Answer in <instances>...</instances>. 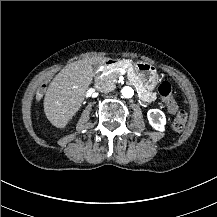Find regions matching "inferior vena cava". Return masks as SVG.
<instances>
[{"label":"inferior vena cava","instance_id":"1","mask_svg":"<svg viewBox=\"0 0 217 217\" xmlns=\"http://www.w3.org/2000/svg\"><path fill=\"white\" fill-rule=\"evenodd\" d=\"M99 84H100V86L98 87V89L101 92H105V93L110 92V86L107 85L106 81H102Z\"/></svg>","mask_w":217,"mask_h":217}]
</instances>
